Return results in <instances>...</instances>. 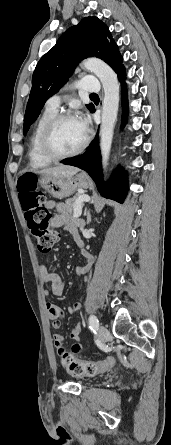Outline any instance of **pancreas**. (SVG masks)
I'll use <instances>...</instances> for the list:
<instances>
[{"mask_svg":"<svg viewBox=\"0 0 171 445\" xmlns=\"http://www.w3.org/2000/svg\"><path fill=\"white\" fill-rule=\"evenodd\" d=\"M80 196H76L72 199H68L66 200L65 203H58L56 206V210L58 213H63V214H68L70 216H72V214H74V210L76 207V202L79 200ZM84 205V203H81V207ZM71 220L73 221H77V219H73L71 218Z\"/></svg>","mask_w":171,"mask_h":445,"instance_id":"1","label":"pancreas"}]
</instances>
